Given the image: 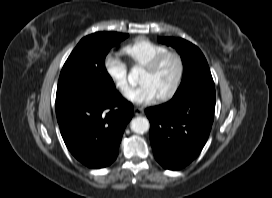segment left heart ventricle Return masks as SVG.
<instances>
[{
	"mask_svg": "<svg viewBox=\"0 0 272 198\" xmlns=\"http://www.w3.org/2000/svg\"><path fill=\"white\" fill-rule=\"evenodd\" d=\"M178 72V64L172 57L166 59L154 72L144 70L140 83H147L152 86L157 96L166 93L173 85Z\"/></svg>",
	"mask_w": 272,
	"mask_h": 198,
	"instance_id": "b2bd125f",
	"label": "left heart ventricle"
}]
</instances>
